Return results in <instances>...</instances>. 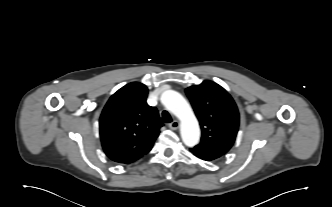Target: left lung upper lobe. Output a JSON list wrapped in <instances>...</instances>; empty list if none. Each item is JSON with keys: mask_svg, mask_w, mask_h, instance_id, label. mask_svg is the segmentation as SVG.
<instances>
[{"mask_svg": "<svg viewBox=\"0 0 332 207\" xmlns=\"http://www.w3.org/2000/svg\"><path fill=\"white\" fill-rule=\"evenodd\" d=\"M202 131L201 141L194 148L224 155L233 145L239 112L229 93L215 82L206 80L185 90Z\"/></svg>", "mask_w": 332, "mask_h": 207, "instance_id": "obj_1", "label": "left lung upper lobe"}]
</instances>
